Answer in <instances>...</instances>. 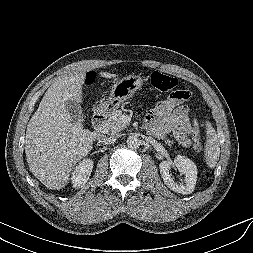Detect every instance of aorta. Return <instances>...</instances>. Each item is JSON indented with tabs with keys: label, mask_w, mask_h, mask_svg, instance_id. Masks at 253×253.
<instances>
[{
	"label": "aorta",
	"mask_w": 253,
	"mask_h": 253,
	"mask_svg": "<svg viewBox=\"0 0 253 253\" xmlns=\"http://www.w3.org/2000/svg\"><path fill=\"white\" fill-rule=\"evenodd\" d=\"M140 139L137 135H130L127 138V145L132 149H137L140 146Z\"/></svg>",
	"instance_id": "1"
}]
</instances>
